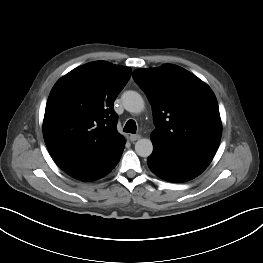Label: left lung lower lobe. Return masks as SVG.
Segmentation results:
<instances>
[{
    "mask_svg": "<svg viewBox=\"0 0 263 263\" xmlns=\"http://www.w3.org/2000/svg\"><path fill=\"white\" fill-rule=\"evenodd\" d=\"M153 153L147 164L157 176L169 182H185L200 175L212 161L217 149L190 144L174 143L151 137Z\"/></svg>",
    "mask_w": 263,
    "mask_h": 263,
    "instance_id": "1",
    "label": "left lung lower lobe"
}]
</instances>
